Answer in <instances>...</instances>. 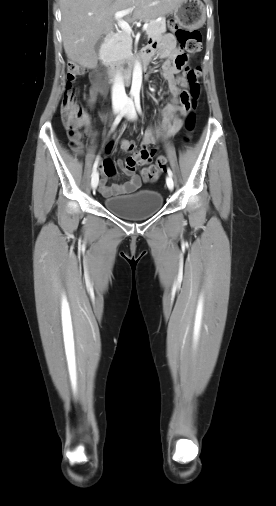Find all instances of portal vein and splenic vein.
Listing matches in <instances>:
<instances>
[{
	"mask_svg": "<svg viewBox=\"0 0 276 506\" xmlns=\"http://www.w3.org/2000/svg\"><path fill=\"white\" fill-rule=\"evenodd\" d=\"M133 10H134V8H129V9L121 10V11L116 12V13H115V15H114V16H115V19H116V20H117V22H118L119 27H120V28H121L124 32H126V33H128V34H130V33H131L132 29H131L130 25H129L127 22L123 21L121 18H122L124 15L131 13ZM147 28H148V24L146 23V24H144V26H143V31H146V30H147Z\"/></svg>",
	"mask_w": 276,
	"mask_h": 506,
	"instance_id": "obj_1",
	"label": "portal vein and splenic vein"
}]
</instances>
